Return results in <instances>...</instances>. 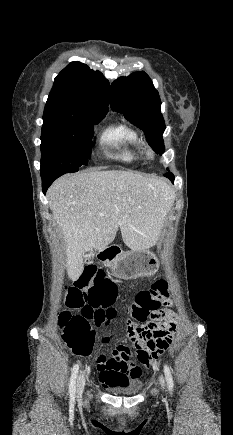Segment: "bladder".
<instances>
[{"label":"bladder","instance_id":"1","mask_svg":"<svg viewBox=\"0 0 233 435\" xmlns=\"http://www.w3.org/2000/svg\"><path fill=\"white\" fill-rule=\"evenodd\" d=\"M140 389H141V385L140 384H136L132 390L123 391L122 393L126 394L128 396H132V395H134Z\"/></svg>","mask_w":233,"mask_h":435}]
</instances>
